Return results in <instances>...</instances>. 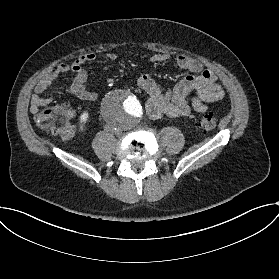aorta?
I'll use <instances>...</instances> for the list:
<instances>
[{
    "instance_id": "762f6f07",
    "label": "aorta",
    "mask_w": 279,
    "mask_h": 279,
    "mask_svg": "<svg viewBox=\"0 0 279 279\" xmlns=\"http://www.w3.org/2000/svg\"><path fill=\"white\" fill-rule=\"evenodd\" d=\"M103 116L115 131L134 127L143 115V108L138 97L125 89L109 93L103 101Z\"/></svg>"
}]
</instances>
